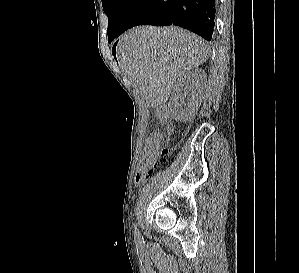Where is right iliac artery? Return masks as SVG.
<instances>
[{
    "label": "right iliac artery",
    "mask_w": 299,
    "mask_h": 273,
    "mask_svg": "<svg viewBox=\"0 0 299 273\" xmlns=\"http://www.w3.org/2000/svg\"><path fill=\"white\" fill-rule=\"evenodd\" d=\"M135 235L137 236V235H139V232H138V230H135Z\"/></svg>",
    "instance_id": "1"
}]
</instances>
